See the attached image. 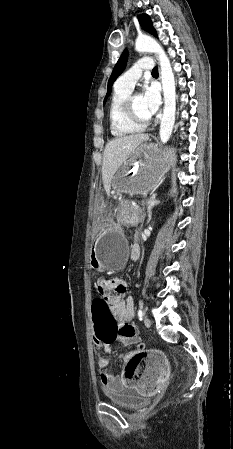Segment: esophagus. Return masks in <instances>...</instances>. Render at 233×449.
Masks as SVG:
<instances>
[{
	"instance_id": "esophagus-1",
	"label": "esophagus",
	"mask_w": 233,
	"mask_h": 449,
	"mask_svg": "<svg viewBox=\"0 0 233 449\" xmlns=\"http://www.w3.org/2000/svg\"><path fill=\"white\" fill-rule=\"evenodd\" d=\"M155 61L159 64L158 62V58L156 56H154Z\"/></svg>"
}]
</instances>
